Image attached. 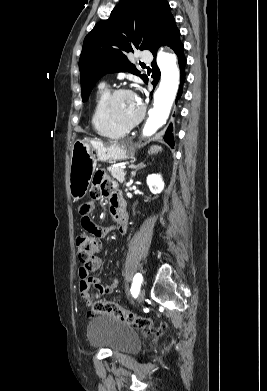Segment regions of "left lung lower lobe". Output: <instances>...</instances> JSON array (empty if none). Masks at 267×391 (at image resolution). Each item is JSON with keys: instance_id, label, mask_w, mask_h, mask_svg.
<instances>
[{"instance_id": "left-lung-lower-lobe-1", "label": "left lung lower lobe", "mask_w": 267, "mask_h": 391, "mask_svg": "<svg viewBox=\"0 0 267 391\" xmlns=\"http://www.w3.org/2000/svg\"><path fill=\"white\" fill-rule=\"evenodd\" d=\"M161 45H167L169 46L177 55L178 57V64L181 72V82H180V87H179V92L177 95V100L180 98L182 94V86L185 81V65H186V58L184 56V46L180 41V31L178 30L177 26L175 25L165 36L162 42H160L157 46H155L151 52L155 59L152 62V77L154 80L152 81V84L154 86L157 85L159 78H160V71L159 68L156 65V51L159 46ZM148 82V79L146 80V83ZM173 126L172 124L169 125L168 129L165 132V135L163 136L164 140L166 143H168L172 148H174V141H173Z\"/></svg>"}]
</instances>
